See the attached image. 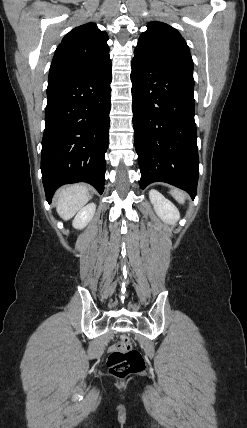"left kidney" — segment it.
I'll list each match as a JSON object with an SVG mask.
<instances>
[{
    "label": "left kidney",
    "mask_w": 247,
    "mask_h": 428,
    "mask_svg": "<svg viewBox=\"0 0 247 428\" xmlns=\"http://www.w3.org/2000/svg\"><path fill=\"white\" fill-rule=\"evenodd\" d=\"M149 198L157 215L165 222L175 225L180 214L176 206L155 189L149 191Z\"/></svg>",
    "instance_id": "obj_1"
}]
</instances>
